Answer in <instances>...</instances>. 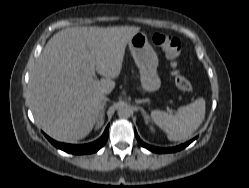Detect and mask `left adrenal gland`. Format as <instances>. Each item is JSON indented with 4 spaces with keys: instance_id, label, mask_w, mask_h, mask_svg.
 I'll use <instances>...</instances> for the list:
<instances>
[{
    "instance_id": "left-adrenal-gland-1",
    "label": "left adrenal gland",
    "mask_w": 249,
    "mask_h": 188,
    "mask_svg": "<svg viewBox=\"0 0 249 188\" xmlns=\"http://www.w3.org/2000/svg\"><path fill=\"white\" fill-rule=\"evenodd\" d=\"M139 109L143 114V117H144L146 124H148L149 116L147 115L146 111L142 107H139Z\"/></svg>"
}]
</instances>
